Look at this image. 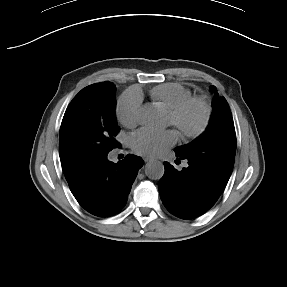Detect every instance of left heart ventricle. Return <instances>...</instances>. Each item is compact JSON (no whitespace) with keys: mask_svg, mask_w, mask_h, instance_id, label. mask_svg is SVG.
<instances>
[{"mask_svg":"<svg viewBox=\"0 0 287 287\" xmlns=\"http://www.w3.org/2000/svg\"><path fill=\"white\" fill-rule=\"evenodd\" d=\"M201 121V111L197 108L189 109L180 119L181 125L186 129L196 128ZM171 123V119L168 116L167 124Z\"/></svg>","mask_w":287,"mask_h":287,"instance_id":"left-heart-ventricle-1","label":"left heart ventricle"}]
</instances>
